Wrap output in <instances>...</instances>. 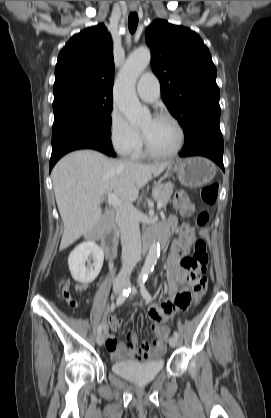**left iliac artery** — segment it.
Returning <instances> with one entry per match:
<instances>
[{"label": "left iliac artery", "mask_w": 271, "mask_h": 418, "mask_svg": "<svg viewBox=\"0 0 271 418\" xmlns=\"http://www.w3.org/2000/svg\"><path fill=\"white\" fill-rule=\"evenodd\" d=\"M139 286H140V291H141V294H142L143 298L148 302L152 301V297H151L150 293L148 292V290L145 287V280L141 281L139 283ZM173 335L176 338H179V333L177 331H174Z\"/></svg>", "instance_id": "1"}]
</instances>
